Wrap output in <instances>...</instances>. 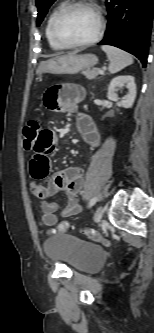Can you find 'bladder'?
Returning a JSON list of instances; mask_svg holds the SVG:
<instances>
[{"mask_svg":"<svg viewBox=\"0 0 154 333\" xmlns=\"http://www.w3.org/2000/svg\"><path fill=\"white\" fill-rule=\"evenodd\" d=\"M43 249L53 262L62 263L78 272H96L105 259V250L102 247L67 233L45 239Z\"/></svg>","mask_w":154,"mask_h":333,"instance_id":"31cf9c89","label":"bladder"}]
</instances>
